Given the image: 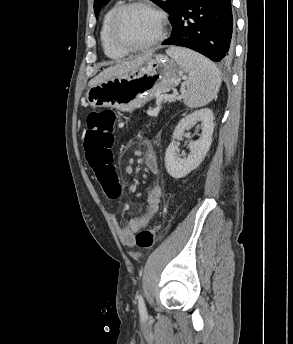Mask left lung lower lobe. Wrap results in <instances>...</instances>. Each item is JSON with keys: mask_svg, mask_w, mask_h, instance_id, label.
I'll return each mask as SVG.
<instances>
[{"mask_svg": "<svg viewBox=\"0 0 293 344\" xmlns=\"http://www.w3.org/2000/svg\"><path fill=\"white\" fill-rule=\"evenodd\" d=\"M171 24V36L162 45L187 47L215 62L231 60V0H180Z\"/></svg>", "mask_w": 293, "mask_h": 344, "instance_id": "1", "label": "left lung lower lobe"}]
</instances>
